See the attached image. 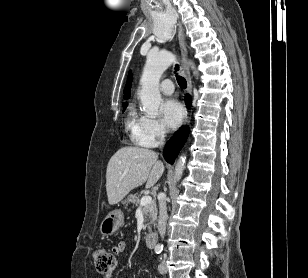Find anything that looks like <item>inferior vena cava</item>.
I'll use <instances>...</instances> for the list:
<instances>
[{"instance_id":"obj_1","label":"inferior vena cava","mask_w":308,"mask_h":278,"mask_svg":"<svg viewBox=\"0 0 308 278\" xmlns=\"http://www.w3.org/2000/svg\"><path fill=\"white\" fill-rule=\"evenodd\" d=\"M165 138V131H161L160 139L164 141ZM158 205H159V218H158V232L162 238L165 236L166 232V221H167V207H166V198L159 197L158 198Z\"/></svg>"}]
</instances>
